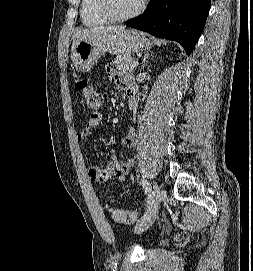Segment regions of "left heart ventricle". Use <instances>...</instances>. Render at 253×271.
<instances>
[{
  "instance_id": "b2bd125f",
  "label": "left heart ventricle",
  "mask_w": 253,
  "mask_h": 271,
  "mask_svg": "<svg viewBox=\"0 0 253 271\" xmlns=\"http://www.w3.org/2000/svg\"><path fill=\"white\" fill-rule=\"evenodd\" d=\"M116 13L124 15L130 13L140 4L141 0H112Z\"/></svg>"
}]
</instances>
